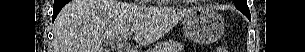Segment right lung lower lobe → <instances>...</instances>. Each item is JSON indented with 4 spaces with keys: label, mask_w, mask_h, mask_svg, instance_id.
Masks as SVG:
<instances>
[{
    "label": "right lung lower lobe",
    "mask_w": 305,
    "mask_h": 52,
    "mask_svg": "<svg viewBox=\"0 0 305 52\" xmlns=\"http://www.w3.org/2000/svg\"><path fill=\"white\" fill-rule=\"evenodd\" d=\"M69 0H54V9H53V21L57 17L58 13L62 9V7L68 3Z\"/></svg>",
    "instance_id": "obj_1"
}]
</instances>
